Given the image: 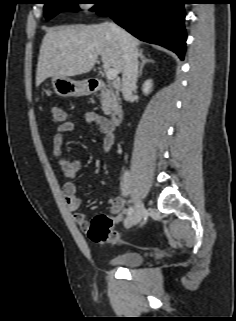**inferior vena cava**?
Here are the masks:
<instances>
[{
    "instance_id": "inferior-vena-cava-1",
    "label": "inferior vena cava",
    "mask_w": 236,
    "mask_h": 321,
    "mask_svg": "<svg viewBox=\"0 0 236 321\" xmlns=\"http://www.w3.org/2000/svg\"><path fill=\"white\" fill-rule=\"evenodd\" d=\"M111 31L119 40L124 52V69L122 74V94L126 101L132 98L138 77V50L131 36L115 23L109 24Z\"/></svg>"
}]
</instances>
